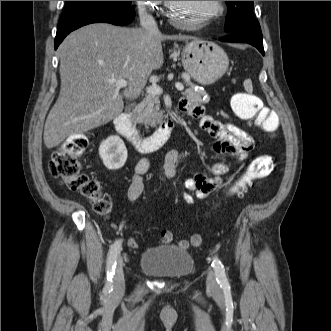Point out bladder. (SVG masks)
I'll return each mask as SVG.
<instances>
[{"mask_svg": "<svg viewBox=\"0 0 331 331\" xmlns=\"http://www.w3.org/2000/svg\"><path fill=\"white\" fill-rule=\"evenodd\" d=\"M138 266L156 278L179 279L192 273L194 259L188 249L164 244L145 249Z\"/></svg>", "mask_w": 331, "mask_h": 331, "instance_id": "31cf9c89", "label": "bladder"}]
</instances>
